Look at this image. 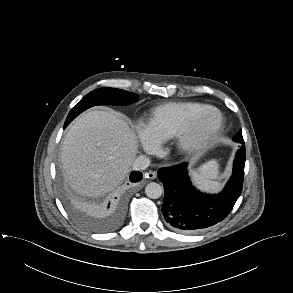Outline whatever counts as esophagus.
<instances>
[{
    "mask_svg": "<svg viewBox=\"0 0 293 293\" xmlns=\"http://www.w3.org/2000/svg\"><path fill=\"white\" fill-rule=\"evenodd\" d=\"M144 177L153 180L157 177V174L154 171H149L144 174Z\"/></svg>",
    "mask_w": 293,
    "mask_h": 293,
    "instance_id": "esophagus-1",
    "label": "esophagus"
}]
</instances>
